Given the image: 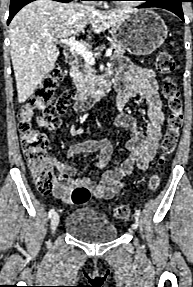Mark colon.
I'll return each instance as SVG.
<instances>
[{"label": "colon", "instance_id": "1", "mask_svg": "<svg viewBox=\"0 0 193 287\" xmlns=\"http://www.w3.org/2000/svg\"><path fill=\"white\" fill-rule=\"evenodd\" d=\"M157 70L165 75L162 84V94L169 110L167 129L160 144L158 165L165 163L166 157L171 155L177 146L180 128L183 122L182 100L177 83L169 77L175 68V61L171 53L161 50L156 57ZM64 73L59 65L52 66L38 84L32 98L21 107L18 113L21 146L31 173L32 180L42 194H48L54 188L56 176L47 158V137L32 127V119L36 110L50 119L55 127L60 126L59 115L64 114L69 105L75 100L73 90H66L59 97L53 95L54 89L63 79ZM157 173L149 178L148 189L154 192L159 185ZM91 198V192L83 186L75 187L70 195L71 202L75 205L86 203ZM130 215V208L126 205L117 206L114 216L125 220Z\"/></svg>", "mask_w": 193, "mask_h": 287}]
</instances>
